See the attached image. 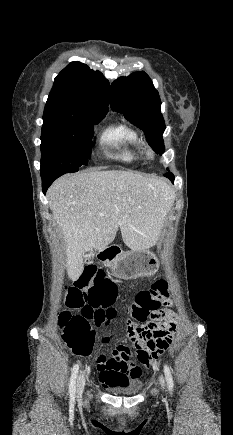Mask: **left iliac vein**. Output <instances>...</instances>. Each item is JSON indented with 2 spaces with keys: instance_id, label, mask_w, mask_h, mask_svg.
I'll return each mask as SVG.
<instances>
[{
  "instance_id": "obj_1",
  "label": "left iliac vein",
  "mask_w": 233,
  "mask_h": 435,
  "mask_svg": "<svg viewBox=\"0 0 233 435\" xmlns=\"http://www.w3.org/2000/svg\"><path fill=\"white\" fill-rule=\"evenodd\" d=\"M159 381H160L162 388H165V380H164L162 375L159 377Z\"/></svg>"
}]
</instances>
